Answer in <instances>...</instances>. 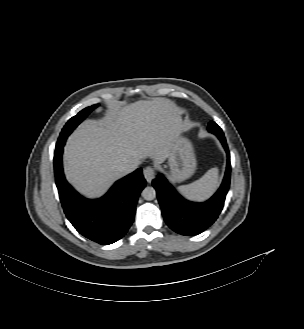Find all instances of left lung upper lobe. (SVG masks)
Segmentation results:
<instances>
[{
    "instance_id": "obj_1",
    "label": "left lung upper lobe",
    "mask_w": 304,
    "mask_h": 329,
    "mask_svg": "<svg viewBox=\"0 0 304 329\" xmlns=\"http://www.w3.org/2000/svg\"><path fill=\"white\" fill-rule=\"evenodd\" d=\"M214 124L213 121H210L209 125L208 126H212Z\"/></svg>"
}]
</instances>
